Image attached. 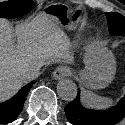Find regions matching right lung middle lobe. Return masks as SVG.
I'll return each mask as SVG.
<instances>
[{"instance_id": "obj_1", "label": "right lung middle lobe", "mask_w": 125, "mask_h": 125, "mask_svg": "<svg viewBox=\"0 0 125 125\" xmlns=\"http://www.w3.org/2000/svg\"><path fill=\"white\" fill-rule=\"evenodd\" d=\"M33 7L31 0H8L0 3V17L16 18L24 15Z\"/></svg>"}]
</instances>
